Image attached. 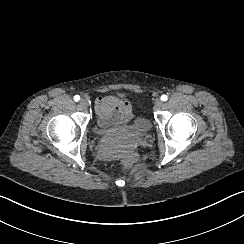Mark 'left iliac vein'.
<instances>
[{"mask_svg":"<svg viewBox=\"0 0 244 244\" xmlns=\"http://www.w3.org/2000/svg\"><path fill=\"white\" fill-rule=\"evenodd\" d=\"M154 106L157 108V109H160L163 107V102L160 100V99H157L154 103Z\"/></svg>","mask_w":244,"mask_h":244,"instance_id":"4c4485c4","label":"left iliac vein"}]
</instances>
